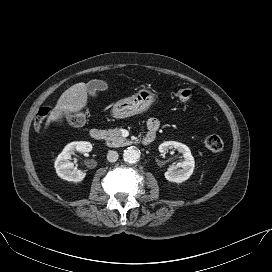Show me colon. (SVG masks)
Wrapping results in <instances>:
<instances>
[{"mask_svg": "<svg viewBox=\"0 0 272 272\" xmlns=\"http://www.w3.org/2000/svg\"><path fill=\"white\" fill-rule=\"evenodd\" d=\"M176 98L183 103L191 102L193 98V92L191 89L183 88L176 92ZM50 115V109L47 107L40 108L36 120H35V128L36 130H41L45 120ZM86 112L84 110H76L66 112L59 119L60 123H65L71 126H80L86 120ZM206 147L213 152H219L223 149V141L222 139L215 134H210L205 138Z\"/></svg>", "mask_w": 272, "mask_h": 272, "instance_id": "5ec220e1", "label": "colon"}]
</instances>
